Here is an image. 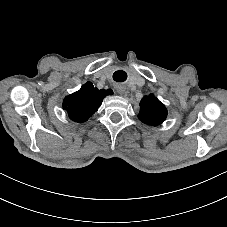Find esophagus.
<instances>
[{
	"label": "esophagus",
	"mask_w": 227,
	"mask_h": 227,
	"mask_svg": "<svg viewBox=\"0 0 227 227\" xmlns=\"http://www.w3.org/2000/svg\"><path fill=\"white\" fill-rule=\"evenodd\" d=\"M116 91L121 96H124L126 94V88L124 86H116Z\"/></svg>",
	"instance_id": "1"
}]
</instances>
